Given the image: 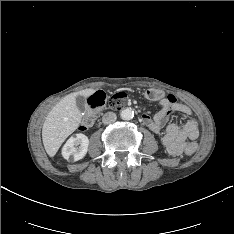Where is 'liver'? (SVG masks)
<instances>
[{
	"label": "liver",
	"instance_id": "1",
	"mask_svg": "<svg viewBox=\"0 0 234 234\" xmlns=\"http://www.w3.org/2000/svg\"><path fill=\"white\" fill-rule=\"evenodd\" d=\"M96 90L84 89L66 95L48 113L42 128L44 148L53 157L66 138L79 126L82 115L76 105V97H89Z\"/></svg>",
	"mask_w": 234,
	"mask_h": 234
}]
</instances>
